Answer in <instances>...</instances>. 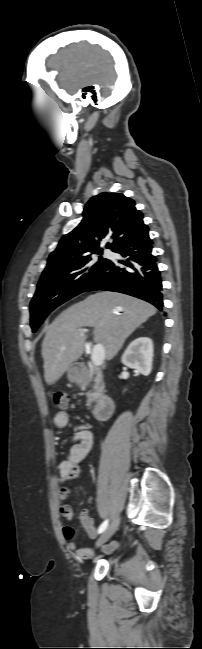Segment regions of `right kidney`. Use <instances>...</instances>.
Segmentation results:
<instances>
[{
	"label": "right kidney",
	"instance_id": "obj_1",
	"mask_svg": "<svg viewBox=\"0 0 202 649\" xmlns=\"http://www.w3.org/2000/svg\"><path fill=\"white\" fill-rule=\"evenodd\" d=\"M153 342L148 337L134 339L122 356V363L138 373L148 376L152 370Z\"/></svg>",
	"mask_w": 202,
	"mask_h": 649
}]
</instances>
